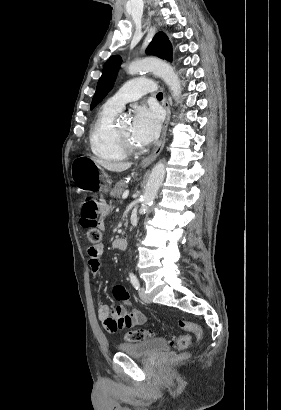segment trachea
Here are the masks:
<instances>
[{
  "mask_svg": "<svg viewBox=\"0 0 281 410\" xmlns=\"http://www.w3.org/2000/svg\"><path fill=\"white\" fill-rule=\"evenodd\" d=\"M162 97H163L162 92H159V93L157 94V98H162Z\"/></svg>",
  "mask_w": 281,
  "mask_h": 410,
  "instance_id": "3493384b",
  "label": "trachea"
}]
</instances>
